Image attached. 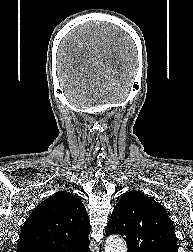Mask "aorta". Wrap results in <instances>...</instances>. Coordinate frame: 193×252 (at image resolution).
<instances>
[{"instance_id": "aorta-1", "label": "aorta", "mask_w": 193, "mask_h": 252, "mask_svg": "<svg viewBox=\"0 0 193 252\" xmlns=\"http://www.w3.org/2000/svg\"><path fill=\"white\" fill-rule=\"evenodd\" d=\"M105 252H127V245L121 237L110 236L105 241Z\"/></svg>"}]
</instances>
